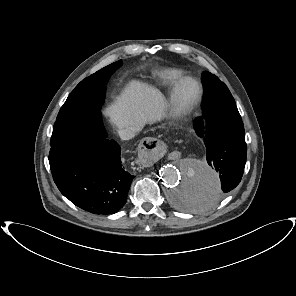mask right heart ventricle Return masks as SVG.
<instances>
[{
    "label": "right heart ventricle",
    "instance_id": "e07e8e85",
    "mask_svg": "<svg viewBox=\"0 0 296 296\" xmlns=\"http://www.w3.org/2000/svg\"><path fill=\"white\" fill-rule=\"evenodd\" d=\"M184 75V72L180 69H166L161 73L160 76V84L161 85H170Z\"/></svg>",
    "mask_w": 296,
    "mask_h": 296
}]
</instances>
